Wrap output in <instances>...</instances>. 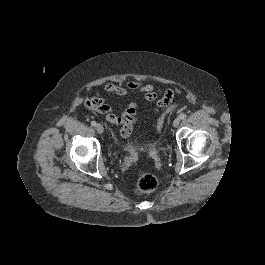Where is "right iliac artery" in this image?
Returning a JSON list of instances; mask_svg holds the SVG:
<instances>
[{
	"mask_svg": "<svg viewBox=\"0 0 265 265\" xmlns=\"http://www.w3.org/2000/svg\"><path fill=\"white\" fill-rule=\"evenodd\" d=\"M91 125H92L93 127H96L97 123H96L95 121H91Z\"/></svg>",
	"mask_w": 265,
	"mask_h": 265,
	"instance_id": "obj_1",
	"label": "right iliac artery"
}]
</instances>
